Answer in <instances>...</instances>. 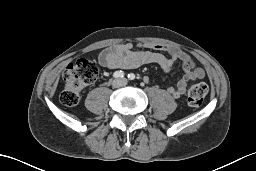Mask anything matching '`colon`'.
<instances>
[{
    "mask_svg": "<svg viewBox=\"0 0 256 171\" xmlns=\"http://www.w3.org/2000/svg\"><path fill=\"white\" fill-rule=\"evenodd\" d=\"M98 75L96 64L86 58L69 64L63 72L64 88L60 94V101L66 106H74L80 100L81 90L93 83ZM208 93L206 83H196L188 90V104L199 107Z\"/></svg>",
    "mask_w": 256,
    "mask_h": 171,
    "instance_id": "obj_1",
    "label": "colon"
}]
</instances>
